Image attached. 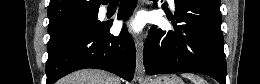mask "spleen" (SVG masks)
I'll return each instance as SVG.
<instances>
[{"label":"spleen","instance_id":"spleen-1","mask_svg":"<svg viewBox=\"0 0 260 84\" xmlns=\"http://www.w3.org/2000/svg\"><path fill=\"white\" fill-rule=\"evenodd\" d=\"M183 77L190 79L193 84H207V81L194 73H184Z\"/></svg>","mask_w":260,"mask_h":84}]
</instances>
